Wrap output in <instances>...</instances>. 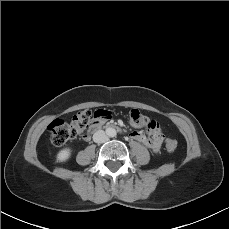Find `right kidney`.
Returning a JSON list of instances; mask_svg holds the SVG:
<instances>
[{
  "label": "right kidney",
  "mask_w": 229,
  "mask_h": 229,
  "mask_svg": "<svg viewBox=\"0 0 229 229\" xmlns=\"http://www.w3.org/2000/svg\"><path fill=\"white\" fill-rule=\"evenodd\" d=\"M70 156H71V149L65 148L59 151V153L57 154V160L59 162H65L66 160L70 158Z\"/></svg>",
  "instance_id": "1"
}]
</instances>
